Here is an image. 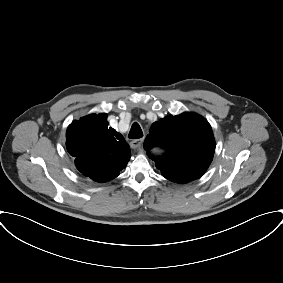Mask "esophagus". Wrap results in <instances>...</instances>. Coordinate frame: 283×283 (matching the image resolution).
<instances>
[{
  "mask_svg": "<svg viewBox=\"0 0 283 283\" xmlns=\"http://www.w3.org/2000/svg\"><path fill=\"white\" fill-rule=\"evenodd\" d=\"M142 143H143V138L135 139V140L130 142V146L132 148L136 149V148H140Z\"/></svg>",
  "mask_w": 283,
  "mask_h": 283,
  "instance_id": "esophagus-1",
  "label": "esophagus"
}]
</instances>
